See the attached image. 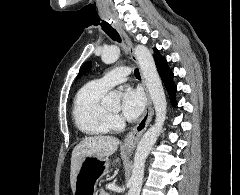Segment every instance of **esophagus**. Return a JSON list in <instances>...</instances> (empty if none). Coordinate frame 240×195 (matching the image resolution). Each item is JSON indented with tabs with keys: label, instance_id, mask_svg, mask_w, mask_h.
<instances>
[{
	"label": "esophagus",
	"instance_id": "1",
	"mask_svg": "<svg viewBox=\"0 0 240 195\" xmlns=\"http://www.w3.org/2000/svg\"><path fill=\"white\" fill-rule=\"evenodd\" d=\"M114 28L124 37L128 52L130 53L132 59L134 62L137 63V58L134 52L133 44L131 39L128 37V35L124 32L120 24H113ZM144 89L147 96V103L144 109V112L142 114V117L138 121V123L135 125V127L126 135L123 143L124 148H134L138 141L140 140V137L147 129L148 125L152 121L153 117V108H152V100L150 97V94L148 92V89L146 87V84L143 82Z\"/></svg>",
	"mask_w": 240,
	"mask_h": 195
}]
</instances>
